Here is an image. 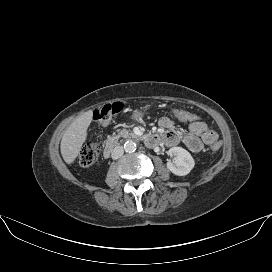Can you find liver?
I'll return each instance as SVG.
<instances>
[{
    "mask_svg": "<svg viewBox=\"0 0 272 272\" xmlns=\"http://www.w3.org/2000/svg\"><path fill=\"white\" fill-rule=\"evenodd\" d=\"M92 120V113L88 111L74 120L65 130L60 150L64 161L71 164L79 155L86 140L87 130Z\"/></svg>",
    "mask_w": 272,
    "mask_h": 272,
    "instance_id": "obj_1",
    "label": "liver"
}]
</instances>
